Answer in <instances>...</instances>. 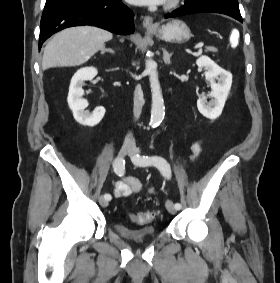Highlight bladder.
<instances>
[{
	"instance_id": "bladder-1",
	"label": "bladder",
	"mask_w": 280,
	"mask_h": 283,
	"mask_svg": "<svg viewBox=\"0 0 280 283\" xmlns=\"http://www.w3.org/2000/svg\"><path fill=\"white\" fill-rule=\"evenodd\" d=\"M117 234L132 241H145L155 237L156 229L152 225H144L140 228H130L121 222L114 224Z\"/></svg>"
}]
</instances>
